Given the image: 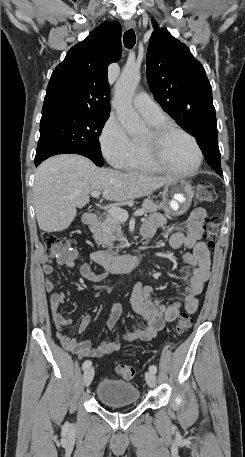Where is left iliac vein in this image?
<instances>
[{
    "instance_id": "4c4485c4",
    "label": "left iliac vein",
    "mask_w": 245,
    "mask_h": 457,
    "mask_svg": "<svg viewBox=\"0 0 245 457\" xmlns=\"http://www.w3.org/2000/svg\"><path fill=\"white\" fill-rule=\"evenodd\" d=\"M145 376H146V381H147L149 387L155 388V386H156V375H155V373L150 371V372H147L145 374Z\"/></svg>"
}]
</instances>
